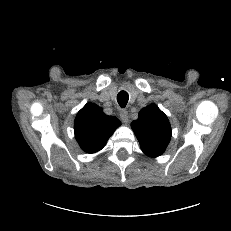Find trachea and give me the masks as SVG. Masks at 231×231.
Masks as SVG:
<instances>
[{"label": "trachea", "instance_id": "trachea-1", "mask_svg": "<svg viewBox=\"0 0 231 231\" xmlns=\"http://www.w3.org/2000/svg\"><path fill=\"white\" fill-rule=\"evenodd\" d=\"M129 95L126 91H120L117 94V102L121 108H124L127 105Z\"/></svg>", "mask_w": 231, "mask_h": 231}]
</instances>
